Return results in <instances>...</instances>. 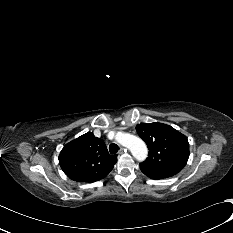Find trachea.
Segmentation results:
<instances>
[{
    "instance_id": "obj_1",
    "label": "trachea",
    "mask_w": 233,
    "mask_h": 233,
    "mask_svg": "<svg viewBox=\"0 0 233 233\" xmlns=\"http://www.w3.org/2000/svg\"><path fill=\"white\" fill-rule=\"evenodd\" d=\"M118 150H119V147H118L117 144L112 143V144L109 145V151H110L111 154L117 153Z\"/></svg>"
}]
</instances>
